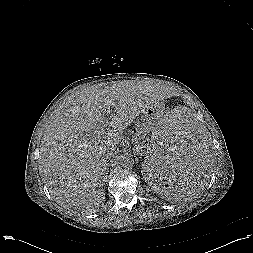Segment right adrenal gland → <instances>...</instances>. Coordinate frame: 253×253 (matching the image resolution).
Returning <instances> with one entry per match:
<instances>
[{
    "label": "right adrenal gland",
    "mask_w": 253,
    "mask_h": 253,
    "mask_svg": "<svg viewBox=\"0 0 253 253\" xmlns=\"http://www.w3.org/2000/svg\"><path fill=\"white\" fill-rule=\"evenodd\" d=\"M109 166H110V163L107 161V163H106V174H108V170H109Z\"/></svg>",
    "instance_id": "right-adrenal-gland-1"
}]
</instances>
